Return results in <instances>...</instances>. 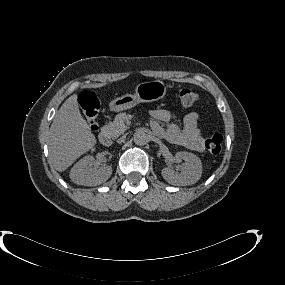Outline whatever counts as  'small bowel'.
Returning <instances> with one entry per match:
<instances>
[{
  "label": "small bowel",
  "mask_w": 285,
  "mask_h": 285,
  "mask_svg": "<svg viewBox=\"0 0 285 285\" xmlns=\"http://www.w3.org/2000/svg\"><path fill=\"white\" fill-rule=\"evenodd\" d=\"M150 126L159 137L169 143L185 147L195 152L204 150V139L198 128V114L191 112L187 114L182 125L171 123V114L166 109H153Z\"/></svg>",
  "instance_id": "obj_1"
}]
</instances>
